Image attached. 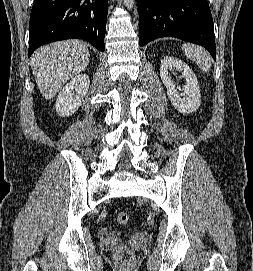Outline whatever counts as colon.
<instances>
[{
  "label": "colon",
  "mask_w": 253,
  "mask_h": 271,
  "mask_svg": "<svg viewBox=\"0 0 253 271\" xmlns=\"http://www.w3.org/2000/svg\"><path fill=\"white\" fill-rule=\"evenodd\" d=\"M116 220L118 224L125 225L129 220V216L126 212H119ZM115 256L120 261H129L132 258V252L128 246L122 245L117 248Z\"/></svg>",
  "instance_id": "obj_1"
}]
</instances>
